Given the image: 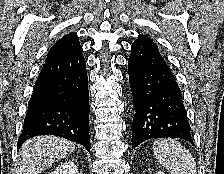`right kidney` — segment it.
Listing matches in <instances>:
<instances>
[{
    "mask_svg": "<svg viewBox=\"0 0 224 174\" xmlns=\"http://www.w3.org/2000/svg\"><path fill=\"white\" fill-rule=\"evenodd\" d=\"M49 174H79L78 168L74 161L62 163L54 171Z\"/></svg>",
    "mask_w": 224,
    "mask_h": 174,
    "instance_id": "right-kidney-1",
    "label": "right kidney"
}]
</instances>
